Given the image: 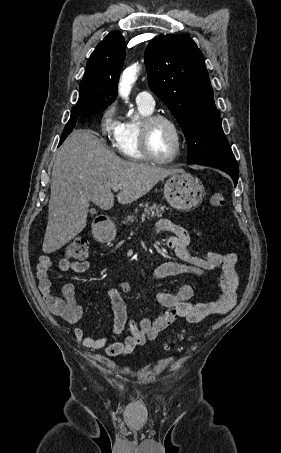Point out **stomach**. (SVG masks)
<instances>
[{
	"instance_id": "0dacf381",
	"label": "stomach",
	"mask_w": 281,
	"mask_h": 453,
	"mask_svg": "<svg viewBox=\"0 0 281 453\" xmlns=\"http://www.w3.org/2000/svg\"><path fill=\"white\" fill-rule=\"evenodd\" d=\"M205 194L204 186L194 174L190 172H176L167 178L164 184V196L170 206L176 210H191L200 204ZM133 220V216H128ZM99 241L109 243L116 235L114 224H109L105 229H99Z\"/></svg>"
}]
</instances>
